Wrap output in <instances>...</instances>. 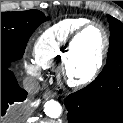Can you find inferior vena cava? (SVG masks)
I'll return each instance as SVG.
<instances>
[{"mask_svg":"<svg viewBox=\"0 0 123 123\" xmlns=\"http://www.w3.org/2000/svg\"><path fill=\"white\" fill-rule=\"evenodd\" d=\"M23 88L29 93V94H36L40 89V84L38 80H36L33 77H26L23 80Z\"/></svg>","mask_w":123,"mask_h":123,"instance_id":"obj_1","label":"inferior vena cava"}]
</instances>
